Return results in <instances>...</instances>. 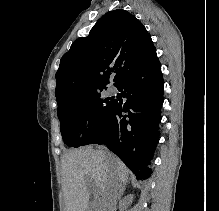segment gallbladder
Here are the masks:
<instances>
[{"label":"gallbladder","mask_w":219,"mask_h":211,"mask_svg":"<svg viewBox=\"0 0 219 211\" xmlns=\"http://www.w3.org/2000/svg\"><path fill=\"white\" fill-rule=\"evenodd\" d=\"M88 211H97L96 205H91V207H89Z\"/></svg>","instance_id":"gallbladder-1"}]
</instances>
